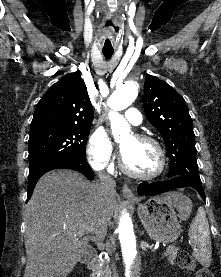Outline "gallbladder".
I'll return each instance as SVG.
<instances>
[{
  "mask_svg": "<svg viewBox=\"0 0 221 277\" xmlns=\"http://www.w3.org/2000/svg\"><path fill=\"white\" fill-rule=\"evenodd\" d=\"M90 257L88 256H84L82 259H81V263H87L89 261Z\"/></svg>",
  "mask_w": 221,
  "mask_h": 277,
  "instance_id": "gallbladder-1",
  "label": "gallbladder"
}]
</instances>
